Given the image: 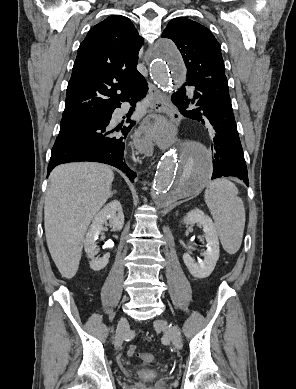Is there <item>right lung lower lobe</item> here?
I'll return each mask as SVG.
<instances>
[{
    "label": "right lung lower lobe",
    "mask_w": 296,
    "mask_h": 389,
    "mask_svg": "<svg viewBox=\"0 0 296 389\" xmlns=\"http://www.w3.org/2000/svg\"><path fill=\"white\" fill-rule=\"evenodd\" d=\"M148 90L145 78L140 77L128 93L125 101L131 103L132 108L127 114L129 126L123 127V136H112L106 131L114 110L98 115L91 124L73 131L59 134L52 148L48 165V175L52 169L62 163L93 161L112 165L125 172L131 181L136 174L125 164L123 155L126 136L136 123L130 120L135 103L143 98Z\"/></svg>",
    "instance_id": "right-lung-lower-lobe-1"
}]
</instances>
